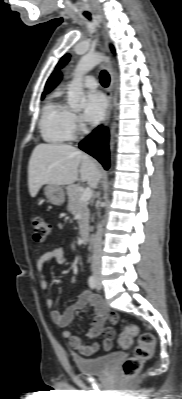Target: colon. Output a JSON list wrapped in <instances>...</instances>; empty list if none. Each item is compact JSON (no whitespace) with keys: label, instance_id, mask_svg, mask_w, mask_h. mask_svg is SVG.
I'll list each match as a JSON object with an SVG mask.
<instances>
[{"label":"colon","instance_id":"5ec220e1","mask_svg":"<svg viewBox=\"0 0 182 399\" xmlns=\"http://www.w3.org/2000/svg\"><path fill=\"white\" fill-rule=\"evenodd\" d=\"M32 237L36 242H43L47 238L50 226L47 221L39 216L34 215L31 222ZM139 334V328L136 325H126L118 338L121 348H128L132 345L135 337ZM155 337L153 334L144 332L139 335V342L135 348L134 355L126 359L122 364V373L125 376L137 374L144 363L149 361L154 352Z\"/></svg>","mask_w":182,"mask_h":399}]
</instances>
